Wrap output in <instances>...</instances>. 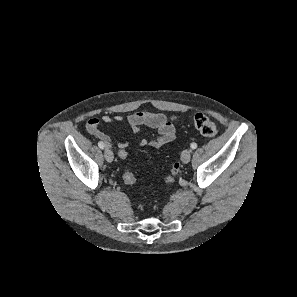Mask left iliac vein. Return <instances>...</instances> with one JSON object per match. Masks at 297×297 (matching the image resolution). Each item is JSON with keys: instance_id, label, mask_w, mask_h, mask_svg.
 <instances>
[{"instance_id": "1", "label": "left iliac vein", "mask_w": 297, "mask_h": 297, "mask_svg": "<svg viewBox=\"0 0 297 297\" xmlns=\"http://www.w3.org/2000/svg\"><path fill=\"white\" fill-rule=\"evenodd\" d=\"M190 158H191V151L189 149L183 150V152L181 154L182 162L186 164L190 161Z\"/></svg>"}]
</instances>
